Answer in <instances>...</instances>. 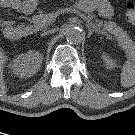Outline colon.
<instances>
[{
  "label": "colon",
  "instance_id": "5ec220e1",
  "mask_svg": "<svg viewBox=\"0 0 135 135\" xmlns=\"http://www.w3.org/2000/svg\"><path fill=\"white\" fill-rule=\"evenodd\" d=\"M126 18L127 20L135 25V3L129 2L126 6Z\"/></svg>",
  "mask_w": 135,
  "mask_h": 135
}]
</instances>
